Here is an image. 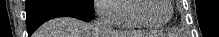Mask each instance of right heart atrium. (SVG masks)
<instances>
[{
  "label": "right heart atrium",
  "instance_id": "1",
  "mask_svg": "<svg viewBox=\"0 0 219 37\" xmlns=\"http://www.w3.org/2000/svg\"><path fill=\"white\" fill-rule=\"evenodd\" d=\"M120 0H97L95 8L101 18L110 23H118L123 17Z\"/></svg>",
  "mask_w": 219,
  "mask_h": 37
}]
</instances>
